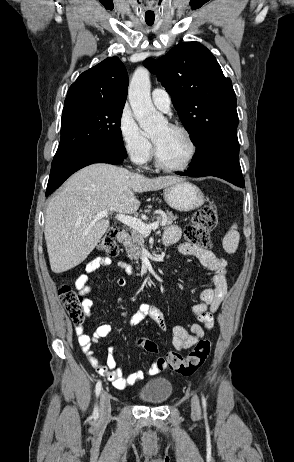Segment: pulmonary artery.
<instances>
[{"label":"pulmonary artery","instance_id":"e3ab8cb5","mask_svg":"<svg viewBox=\"0 0 294 462\" xmlns=\"http://www.w3.org/2000/svg\"><path fill=\"white\" fill-rule=\"evenodd\" d=\"M153 104L160 110L168 112L170 110L171 99L169 93L162 88H155L151 92Z\"/></svg>","mask_w":294,"mask_h":462}]
</instances>
